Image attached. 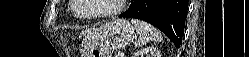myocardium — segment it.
Instances as JSON below:
<instances>
[{
    "instance_id": "1",
    "label": "myocardium",
    "mask_w": 249,
    "mask_h": 57,
    "mask_svg": "<svg viewBox=\"0 0 249 57\" xmlns=\"http://www.w3.org/2000/svg\"><path fill=\"white\" fill-rule=\"evenodd\" d=\"M125 3H126V0H118L117 6L111 11L103 12V13H96V14H91V15H80L78 13V9L81 6V1L72 0L71 12L74 15V17H76L77 19H81V20H95V19L110 18V17H113L119 14L125 7Z\"/></svg>"
}]
</instances>
